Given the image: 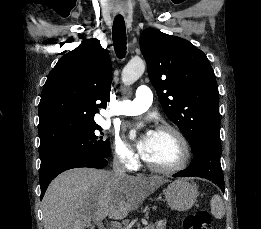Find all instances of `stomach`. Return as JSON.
I'll list each match as a JSON object with an SVG mask.
<instances>
[{"instance_id": "1", "label": "stomach", "mask_w": 261, "mask_h": 229, "mask_svg": "<svg viewBox=\"0 0 261 229\" xmlns=\"http://www.w3.org/2000/svg\"><path fill=\"white\" fill-rule=\"evenodd\" d=\"M166 201L175 211H188L196 203L198 197V189L196 185H192L186 179H178L168 185L164 189Z\"/></svg>"}]
</instances>
